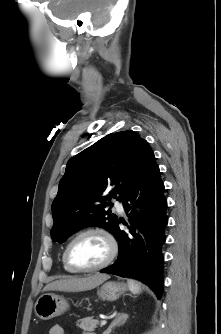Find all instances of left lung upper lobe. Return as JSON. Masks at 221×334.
I'll use <instances>...</instances> for the list:
<instances>
[{
  "label": "left lung upper lobe",
  "mask_w": 221,
  "mask_h": 334,
  "mask_svg": "<svg viewBox=\"0 0 221 334\" xmlns=\"http://www.w3.org/2000/svg\"><path fill=\"white\" fill-rule=\"evenodd\" d=\"M148 142L132 130L111 133L71 158L52 203L51 238L59 243L86 226L113 233L117 216L105 211L122 200L154 159Z\"/></svg>",
  "instance_id": "obj_1"
}]
</instances>
